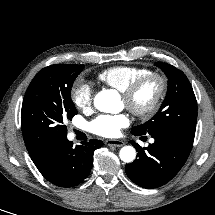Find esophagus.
Returning <instances> with one entry per match:
<instances>
[{
    "label": "esophagus",
    "mask_w": 215,
    "mask_h": 215,
    "mask_svg": "<svg viewBox=\"0 0 215 215\" xmlns=\"http://www.w3.org/2000/svg\"><path fill=\"white\" fill-rule=\"evenodd\" d=\"M105 144L108 146L121 147L124 145V142L121 140L108 139L105 141Z\"/></svg>",
    "instance_id": "34e87169"
}]
</instances>
